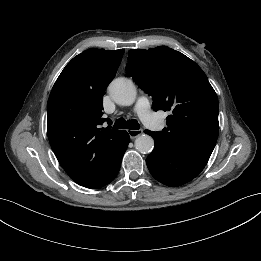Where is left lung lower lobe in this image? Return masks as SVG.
Listing matches in <instances>:
<instances>
[{"instance_id":"0a47b994","label":"left lung lower lobe","mask_w":261,"mask_h":261,"mask_svg":"<svg viewBox=\"0 0 261 261\" xmlns=\"http://www.w3.org/2000/svg\"><path fill=\"white\" fill-rule=\"evenodd\" d=\"M145 133L151 135L155 141L154 150L146 159L148 169L156 180L167 186L177 187L195 178L211 156V152L190 151L172 146L151 131L146 130Z\"/></svg>"}]
</instances>
